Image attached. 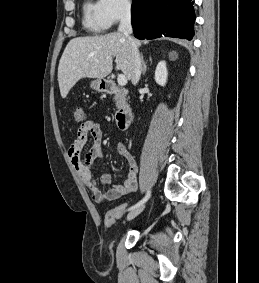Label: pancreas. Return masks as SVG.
Here are the masks:
<instances>
[{"instance_id":"obj_1","label":"pancreas","mask_w":259,"mask_h":283,"mask_svg":"<svg viewBox=\"0 0 259 283\" xmlns=\"http://www.w3.org/2000/svg\"><path fill=\"white\" fill-rule=\"evenodd\" d=\"M114 101H115L117 107L122 106V105H123V97H122V95L117 94V95L114 97Z\"/></svg>"}]
</instances>
